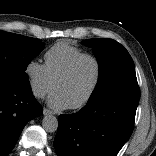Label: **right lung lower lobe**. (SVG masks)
I'll return each mask as SVG.
<instances>
[{
	"label": "right lung lower lobe",
	"mask_w": 156,
	"mask_h": 156,
	"mask_svg": "<svg viewBox=\"0 0 156 156\" xmlns=\"http://www.w3.org/2000/svg\"><path fill=\"white\" fill-rule=\"evenodd\" d=\"M42 112L29 84L0 80V156L8 155L26 123Z\"/></svg>",
	"instance_id": "1"
}]
</instances>
